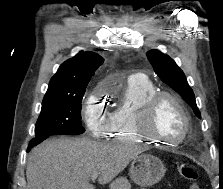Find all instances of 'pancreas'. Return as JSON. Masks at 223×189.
<instances>
[{
    "label": "pancreas",
    "instance_id": "obj_1",
    "mask_svg": "<svg viewBox=\"0 0 223 189\" xmlns=\"http://www.w3.org/2000/svg\"><path fill=\"white\" fill-rule=\"evenodd\" d=\"M113 187L115 189H130V184L126 179L122 178V179L117 180L113 184Z\"/></svg>",
    "mask_w": 223,
    "mask_h": 189
}]
</instances>
